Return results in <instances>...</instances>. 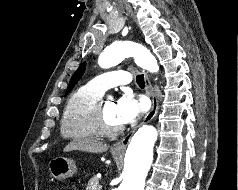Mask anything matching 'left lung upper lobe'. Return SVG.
<instances>
[{
  "instance_id": "obj_1",
  "label": "left lung upper lobe",
  "mask_w": 238,
  "mask_h": 190,
  "mask_svg": "<svg viewBox=\"0 0 238 190\" xmlns=\"http://www.w3.org/2000/svg\"><path fill=\"white\" fill-rule=\"evenodd\" d=\"M84 71H85V63H82L77 69V71L74 73L73 77L71 78L70 83L68 85L67 93L72 89L75 83L79 80V78L84 73Z\"/></svg>"
}]
</instances>
